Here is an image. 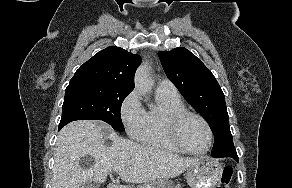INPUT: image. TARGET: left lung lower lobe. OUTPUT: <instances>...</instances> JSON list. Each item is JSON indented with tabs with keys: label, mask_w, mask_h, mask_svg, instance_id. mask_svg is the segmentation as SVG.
Returning a JSON list of instances; mask_svg holds the SVG:
<instances>
[{
	"label": "left lung lower lobe",
	"mask_w": 292,
	"mask_h": 188,
	"mask_svg": "<svg viewBox=\"0 0 292 188\" xmlns=\"http://www.w3.org/2000/svg\"><path fill=\"white\" fill-rule=\"evenodd\" d=\"M223 157H232V158H234L237 162H238V160H239L236 151H233V152H230V153H226V154L223 155Z\"/></svg>",
	"instance_id": "1"
}]
</instances>
